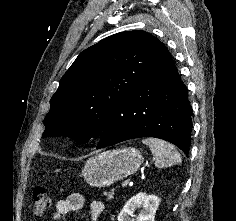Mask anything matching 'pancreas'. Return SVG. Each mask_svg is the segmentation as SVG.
<instances>
[{"label": "pancreas", "mask_w": 236, "mask_h": 221, "mask_svg": "<svg viewBox=\"0 0 236 221\" xmlns=\"http://www.w3.org/2000/svg\"><path fill=\"white\" fill-rule=\"evenodd\" d=\"M113 194H114L113 191L105 193V195L108 197L109 200L113 198Z\"/></svg>", "instance_id": "obj_1"}]
</instances>
